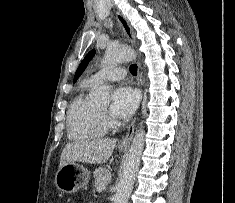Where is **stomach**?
<instances>
[{
    "label": "stomach",
    "instance_id": "1",
    "mask_svg": "<svg viewBox=\"0 0 235 203\" xmlns=\"http://www.w3.org/2000/svg\"><path fill=\"white\" fill-rule=\"evenodd\" d=\"M120 151L126 148L119 147ZM90 174L87 169L76 163H69L59 168L55 175L57 188L65 193H74L86 186L89 182Z\"/></svg>",
    "mask_w": 235,
    "mask_h": 203
}]
</instances>
